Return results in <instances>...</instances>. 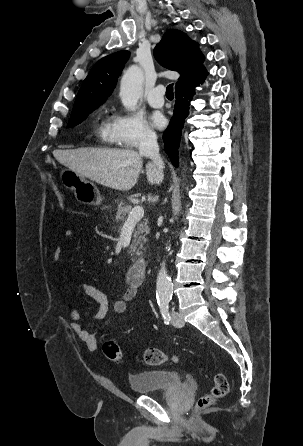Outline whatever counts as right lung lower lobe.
<instances>
[{
    "label": "right lung lower lobe",
    "mask_w": 303,
    "mask_h": 446,
    "mask_svg": "<svg viewBox=\"0 0 303 446\" xmlns=\"http://www.w3.org/2000/svg\"><path fill=\"white\" fill-rule=\"evenodd\" d=\"M206 75L186 85L180 86L175 90L176 103L174 107V114L168 129L163 134L166 153L170 156L175 167H178L179 164L177 149L180 143V136L184 120L189 114L190 101L195 94V87L204 82Z\"/></svg>",
    "instance_id": "1"
}]
</instances>
